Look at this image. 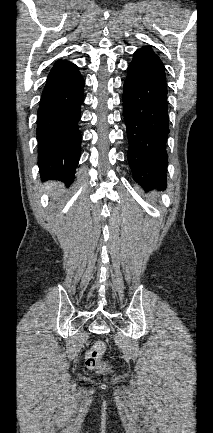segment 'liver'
I'll return each mask as SVG.
<instances>
[{
    "instance_id": "6515ba94",
    "label": "liver",
    "mask_w": 213,
    "mask_h": 433,
    "mask_svg": "<svg viewBox=\"0 0 213 433\" xmlns=\"http://www.w3.org/2000/svg\"><path fill=\"white\" fill-rule=\"evenodd\" d=\"M51 188H52V183H48V184L46 185V190H51Z\"/></svg>"
}]
</instances>
